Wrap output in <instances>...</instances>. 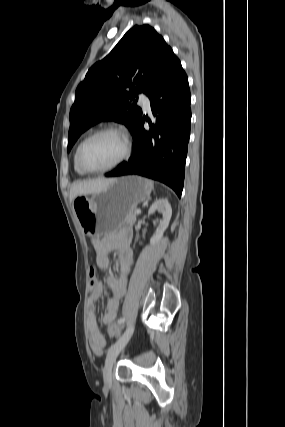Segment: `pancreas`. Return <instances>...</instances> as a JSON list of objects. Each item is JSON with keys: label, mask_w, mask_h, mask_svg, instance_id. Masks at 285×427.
<instances>
[{"label": "pancreas", "mask_w": 285, "mask_h": 427, "mask_svg": "<svg viewBox=\"0 0 285 427\" xmlns=\"http://www.w3.org/2000/svg\"><path fill=\"white\" fill-rule=\"evenodd\" d=\"M136 211L132 210L129 212L128 216H127V222L128 224H133L134 221L136 220Z\"/></svg>", "instance_id": "1"}]
</instances>
